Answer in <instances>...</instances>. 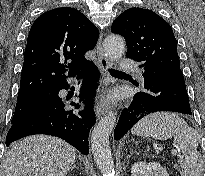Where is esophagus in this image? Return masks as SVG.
<instances>
[{"instance_id":"34e87169","label":"esophagus","mask_w":205,"mask_h":176,"mask_svg":"<svg viewBox=\"0 0 205 176\" xmlns=\"http://www.w3.org/2000/svg\"><path fill=\"white\" fill-rule=\"evenodd\" d=\"M102 37L103 35L101 34L99 37L98 43H97V47H96L97 57H98L97 65L102 75V88L99 93V97H98V101L96 105L97 118L104 116L108 112V108L103 102V97L111 84V78L108 74V68L110 67V62L105 57L103 49H102Z\"/></svg>"}]
</instances>
